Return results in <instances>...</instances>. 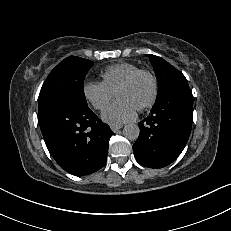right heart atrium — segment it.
<instances>
[{
  "label": "right heart atrium",
  "instance_id": "d8ad5b80",
  "mask_svg": "<svg viewBox=\"0 0 231 231\" xmlns=\"http://www.w3.org/2000/svg\"><path fill=\"white\" fill-rule=\"evenodd\" d=\"M82 92L84 98L98 111L105 109L114 96L112 91L98 81L84 82Z\"/></svg>",
  "mask_w": 231,
  "mask_h": 231
}]
</instances>
